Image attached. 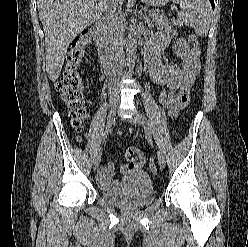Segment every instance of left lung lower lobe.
<instances>
[{"label": "left lung lower lobe", "instance_id": "0a47b994", "mask_svg": "<svg viewBox=\"0 0 248 247\" xmlns=\"http://www.w3.org/2000/svg\"><path fill=\"white\" fill-rule=\"evenodd\" d=\"M212 7L214 8V0H210Z\"/></svg>", "mask_w": 248, "mask_h": 247}]
</instances>
